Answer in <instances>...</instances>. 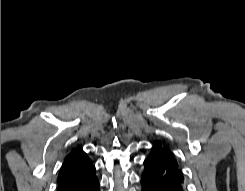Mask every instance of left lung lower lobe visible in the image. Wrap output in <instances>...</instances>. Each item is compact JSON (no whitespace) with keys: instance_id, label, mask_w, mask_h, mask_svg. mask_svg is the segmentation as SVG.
Masks as SVG:
<instances>
[{"instance_id":"0a47b994","label":"left lung lower lobe","mask_w":245,"mask_h":191,"mask_svg":"<svg viewBox=\"0 0 245 191\" xmlns=\"http://www.w3.org/2000/svg\"><path fill=\"white\" fill-rule=\"evenodd\" d=\"M141 191H185V178L173 155L153 147L144 160Z\"/></svg>"}]
</instances>
